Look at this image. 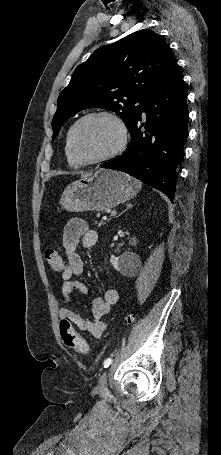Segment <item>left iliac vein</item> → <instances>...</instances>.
<instances>
[{
	"label": "left iliac vein",
	"mask_w": 221,
	"mask_h": 455,
	"mask_svg": "<svg viewBox=\"0 0 221 455\" xmlns=\"http://www.w3.org/2000/svg\"><path fill=\"white\" fill-rule=\"evenodd\" d=\"M98 392L105 393L107 391V371H105L99 378L98 381V386H97Z\"/></svg>",
	"instance_id": "1"
}]
</instances>
